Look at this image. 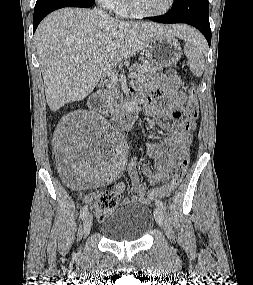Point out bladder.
<instances>
[{
    "label": "bladder",
    "instance_id": "obj_1",
    "mask_svg": "<svg viewBox=\"0 0 253 285\" xmlns=\"http://www.w3.org/2000/svg\"><path fill=\"white\" fill-rule=\"evenodd\" d=\"M153 224V213L148 206L124 201L108 213L100 231L114 242H136L149 233Z\"/></svg>",
    "mask_w": 253,
    "mask_h": 285
}]
</instances>
